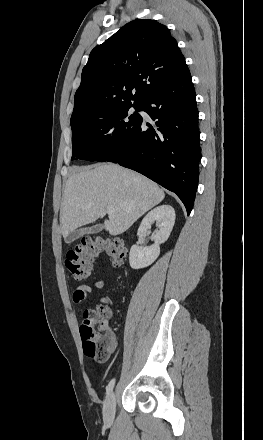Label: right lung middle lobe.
Listing matches in <instances>:
<instances>
[{
	"label": "right lung middle lobe",
	"mask_w": 263,
	"mask_h": 440,
	"mask_svg": "<svg viewBox=\"0 0 263 440\" xmlns=\"http://www.w3.org/2000/svg\"><path fill=\"white\" fill-rule=\"evenodd\" d=\"M136 112L131 114L129 109ZM141 103L118 105L86 114L72 125V158L95 161L121 142L140 122Z\"/></svg>",
	"instance_id": "dd1d6c3e"
}]
</instances>
